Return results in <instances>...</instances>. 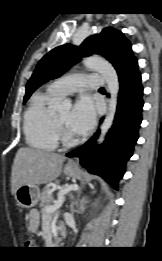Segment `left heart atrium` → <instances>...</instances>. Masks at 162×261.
I'll return each mask as SVG.
<instances>
[{"label": "left heart atrium", "mask_w": 162, "mask_h": 261, "mask_svg": "<svg viewBox=\"0 0 162 261\" xmlns=\"http://www.w3.org/2000/svg\"><path fill=\"white\" fill-rule=\"evenodd\" d=\"M95 106L88 96L80 97L74 105L69 119V128L76 135L87 134L94 126Z\"/></svg>", "instance_id": "obj_1"}]
</instances>
